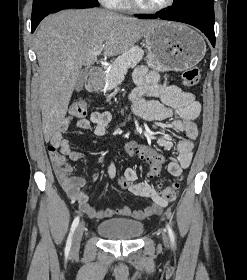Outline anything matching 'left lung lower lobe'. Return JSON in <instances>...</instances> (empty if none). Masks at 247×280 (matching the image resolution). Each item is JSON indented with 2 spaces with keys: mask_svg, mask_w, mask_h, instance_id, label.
Returning a JSON list of instances; mask_svg holds the SVG:
<instances>
[{
  "mask_svg": "<svg viewBox=\"0 0 247 280\" xmlns=\"http://www.w3.org/2000/svg\"><path fill=\"white\" fill-rule=\"evenodd\" d=\"M140 18H157L164 20L178 21L190 24L201 30L215 46L214 34V8H195L182 11L171 9L163 12L159 16H139Z\"/></svg>",
  "mask_w": 247,
  "mask_h": 280,
  "instance_id": "left-lung-lower-lobe-1",
  "label": "left lung lower lobe"
}]
</instances>
